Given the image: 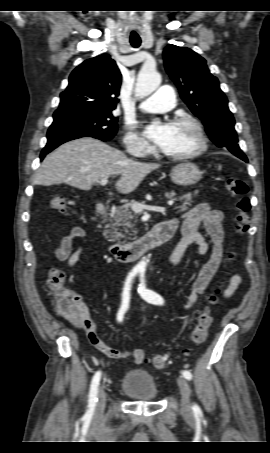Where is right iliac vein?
<instances>
[{
	"label": "right iliac vein",
	"mask_w": 270,
	"mask_h": 453,
	"mask_svg": "<svg viewBox=\"0 0 270 453\" xmlns=\"http://www.w3.org/2000/svg\"><path fill=\"white\" fill-rule=\"evenodd\" d=\"M105 403H106V394H105V391H104V388H100L99 392H98V399H97V403H96V407H95V414L96 416H101L104 412V408H105Z\"/></svg>",
	"instance_id": "obj_1"
}]
</instances>
